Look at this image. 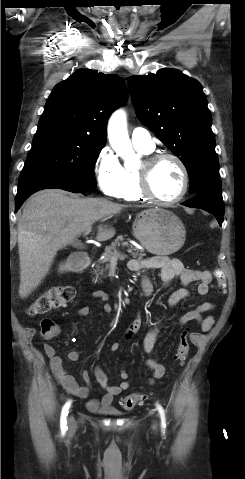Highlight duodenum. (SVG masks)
<instances>
[{
	"instance_id": "1",
	"label": "duodenum",
	"mask_w": 245,
	"mask_h": 479,
	"mask_svg": "<svg viewBox=\"0 0 245 479\" xmlns=\"http://www.w3.org/2000/svg\"><path fill=\"white\" fill-rule=\"evenodd\" d=\"M90 265L88 256H81L72 260V266L76 270L87 268Z\"/></svg>"
}]
</instances>
